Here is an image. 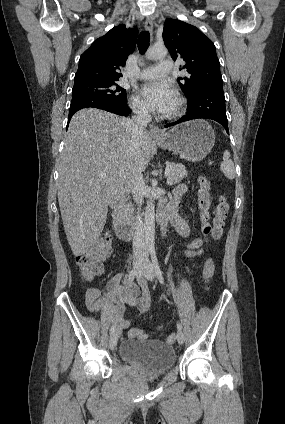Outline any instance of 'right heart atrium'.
<instances>
[{
    "label": "right heart atrium",
    "mask_w": 285,
    "mask_h": 424,
    "mask_svg": "<svg viewBox=\"0 0 285 424\" xmlns=\"http://www.w3.org/2000/svg\"><path fill=\"white\" fill-rule=\"evenodd\" d=\"M130 105L133 111L141 116L147 115L148 109L144 102L136 95H132L130 98Z\"/></svg>",
    "instance_id": "right-heart-atrium-1"
}]
</instances>
